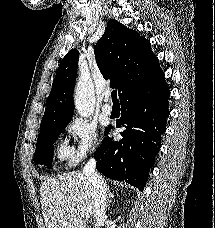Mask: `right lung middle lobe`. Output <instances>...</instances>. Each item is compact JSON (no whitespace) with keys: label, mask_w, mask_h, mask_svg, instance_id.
Wrapping results in <instances>:
<instances>
[{"label":"right lung middle lobe","mask_w":215,"mask_h":228,"mask_svg":"<svg viewBox=\"0 0 215 228\" xmlns=\"http://www.w3.org/2000/svg\"><path fill=\"white\" fill-rule=\"evenodd\" d=\"M69 122L70 121L52 123L40 127V133L34 155V162L36 165L44 164L48 168H51V161L53 159L54 152L53 144Z\"/></svg>","instance_id":"obj_1"}]
</instances>
